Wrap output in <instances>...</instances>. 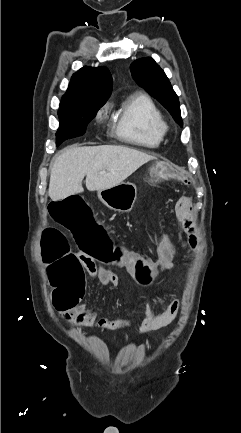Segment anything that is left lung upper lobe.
<instances>
[{"label": "left lung upper lobe", "instance_id": "obj_1", "mask_svg": "<svg viewBox=\"0 0 241 433\" xmlns=\"http://www.w3.org/2000/svg\"><path fill=\"white\" fill-rule=\"evenodd\" d=\"M130 70L135 81L156 98L182 127L180 105L164 71L150 57L134 61Z\"/></svg>", "mask_w": 241, "mask_h": 433}]
</instances>
